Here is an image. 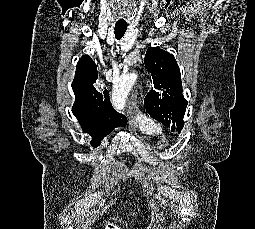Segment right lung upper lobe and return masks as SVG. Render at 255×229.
I'll return each instance as SVG.
<instances>
[{
  "mask_svg": "<svg viewBox=\"0 0 255 229\" xmlns=\"http://www.w3.org/2000/svg\"><path fill=\"white\" fill-rule=\"evenodd\" d=\"M98 79L97 66L88 55L78 63L72 89L76 100L72 112L82 125L83 131L92 136V142L100 141L116 127H123L127 119L114 110L107 90L100 92L94 87Z\"/></svg>",
  "mask_w": 255,
  "mask_h": 229,
  "instance_id": "obj_1",
  "label": "right lung upper lobe"
}]
</instances>
